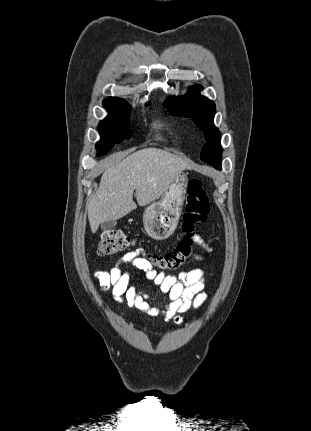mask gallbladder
<instances>
[{"label":"gallbladder","mask_w":311,"mask_h":431,"mask_svg":"<svg viewBox=\"0 0 311 431\" xmlns=\"http://www.w3.org/2000/svg\"><path fill=\"white\" fill-rule=\"evenodd\" d=\"M115 225H117L116 219H110V221H103L100 227L101 229H112V227H115Z\"/></svg>","instance_id":"bac80fb5"}]
</instances>
